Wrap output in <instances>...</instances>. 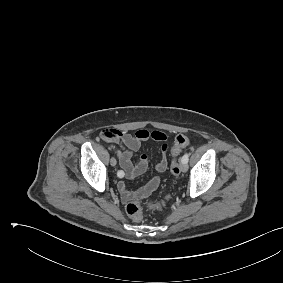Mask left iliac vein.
Instances as JSON below:
<instances>
[{"mask_svg": "<svg viewBox=\"0 0 283 283\" xmlns=\"http://www.w3.org/2000/svg\"><path fill=\"white\" fill-rule=\"evenodd\" d=\"M180 169H181L182 172H187L188 171L187 163L182 162L181 165H180Z\"/></svg>", "mask_w": 283, "mask_h": 283, "instance_id": "left-iliac-vein-1", "label": "left iliac vein"}]
</instances>
